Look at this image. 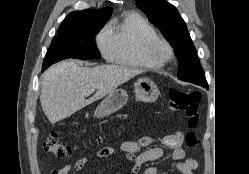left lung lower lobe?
<instances>
[{"label":"left lung lower lobe","mask_w":249,"mask_h":174,"mask_svg":"<svg viewBox=\"0 0 249 174\" xmlns=\"http://www.w3.org/2000/svg\"><path fill=\"white\" fill-rule=\"evenodd\" d=\"M191 83L200 85V86L205 87V88L208 89V84H207L206 79H198V80L192 81Z\"/></svg>","instance_id":"1"}]
</instances>
